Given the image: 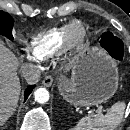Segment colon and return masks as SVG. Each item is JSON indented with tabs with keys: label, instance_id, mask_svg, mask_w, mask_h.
<instances>
[{
	"label": "colon",
	"instance_id": "5ec220e1",
	"mask_svg": "<svg viewBox=\"0 0 130 130\" xmlns=\"http://www.w3.org/2000/svg\"><path fill=\"white\" fill-rule=\"evenodd\" d=\"M101 45L111 56L116 59H122L124 55V44L120 38L111 33H103Z\"/></svg>",
	"mask_w": 130,
	"mask_h": 130
}]
</instances>
